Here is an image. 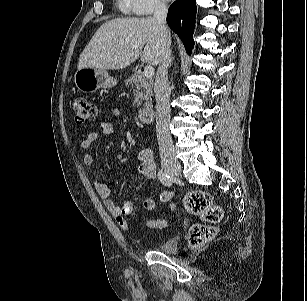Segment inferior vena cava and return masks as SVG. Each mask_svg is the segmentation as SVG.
Instances as JSON below:
<instances>
[{
	"instance_id": "602c4592",
	"label": "inferior vena cava",
	"mask_w": 307,
	"mask_h": 301,
	"mask_svg": "<svg viewBox=\"0 0 307 301\" xmlns=\"http://www.w3.org/2000/svg\"><path fill=\"white\" fill-rule=\"evenodd\" d=\"M168 7L165 3H157L154 18L161 31L162 55L157 69L154 93L156 99V132L161 156L173 154L174 146L170 134V105L171 90L168 82V67L171 63L170 32L166 26Z\"/></svg>"
}]
</instances>
